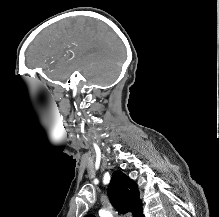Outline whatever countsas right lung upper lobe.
Listing matches in <instances>:
<instances>
[{"instance_id": "obj_1", "label": "right lung upper lobe", "mask_w": 219, "mask_h": 217, "mask_svg": "<svg viewBox=\"0 0 219 217\" xmlns=\"http://www.w3.org/2000/svg\"><path fill=\"white\" fill-rule=\"evenodd\" d=\"M108 196L113 207L121 214L133 213V217H144L137 184L121 171H114ZM86 217H94L88 215Z\"/></svg>"}]
</instances>
